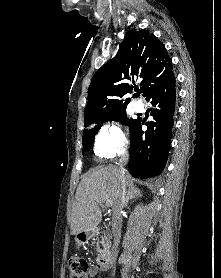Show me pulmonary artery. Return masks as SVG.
Returning <instances> with one entry per match:
<instances>
[{"label": "pulmonary artery", "instance_id": "1", "mask_svg": "<svg viewBox=\"0 0 221 278\" xmlns=\"http://www.w3.org/2000/svg\"><path fill=\"white\" fill-rule=\"evenodd\" d=\"M133 108H134V110L140 112L143 110V104L139 101H136L133 103Z\"/></svg>", "mask_w": 221, "mask_h": 278}]
</instances>
